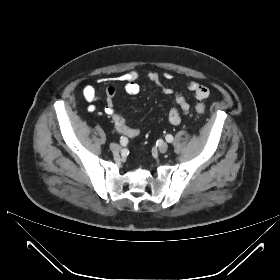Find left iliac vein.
I'll use <instances>...</instances> for the list:
<instances>
[{"mask_svg": "<svg viewBox=\"0 0 280 280\" xmlns=\"http://www.w3.org/2000/svg\"><path fill=\"white\" fill-rule=\"evenodd\" d=\"M168 150V145L165 142H162L161 144L158 145V151L160 153H165Z\"/></svg>", "mask_w": 280, "mask_h": 280, "instance_id": "obj_1", "label": "left iliac vein"}]
</instances>
